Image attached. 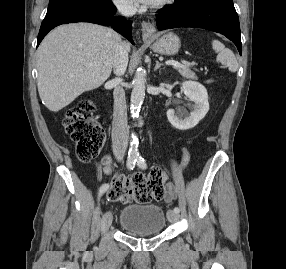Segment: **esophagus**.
I'll return each instance as SVG.
<instances>
[{
  "label": "esophagus",
  "mask_w": 286,
  "mask_h": 269,
  "mask_svg": "<svg viewBox=\"0 0 286 269\" xmlns=\"http://www.w3.org/2000/svg\"><path fill=\"white\" fill-rule=\"evenodd\" d=\"M156 28L155 25L151 22H143L142 23V37L143 39H148L152 37L155 33Z\"/></svg>",
  "instance_id": "obj_1"
}]
</instances>
